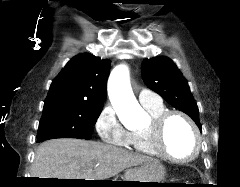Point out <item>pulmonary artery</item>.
I'll use <instances>...</instances> for the list:
<instances>
[{
    "label": "pulmonary artery",
    "mask_w": 240,
    "mask_h": 187,
    "mask_svg": "<svg viewBox=\"0 0 240 187\" xmlns=\"http://www.w3.org/2000/svg\"><path fill=\"white\" fill-rule=\"evenodd\" d=\"M138 99L143 106H156L162 104L160 96L148 89H142L138 94Z\"/></svg>",
    "instance_id": "1"
}]
</instances>
